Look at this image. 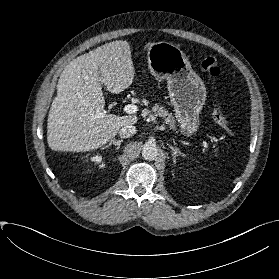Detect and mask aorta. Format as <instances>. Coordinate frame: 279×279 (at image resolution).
Returning <instances> with one entry per match:
<instances>
[{"instance_id": "762f6f07", "label": "aorta", "mask_w": 279, "mask_h": 279, "mask_svg": "<svg viewBox=\"0 0 279 279\" xmlns=\"http://www.w3.org/2000/svg\"><path fill=\"white\" fill-rule=\"evenodd\" d=\"M157 154H158V149L156 147V144L153 143V142H146L144 145H143V148H142V157L145 159V160H154L156 159L157 157Z\"/></svg>"}]
</instances>
